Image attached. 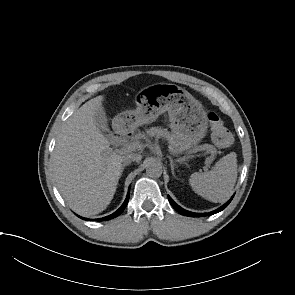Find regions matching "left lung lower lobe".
<instances>
[{"mask_svg":"<svg viewBox=\"0 0 295 295\" xmlns=\"http://www.w3.org/2000/svg\"><path fill=\"white\" fill-rule=\"evenodd\" d=\"M233 199V197L226 203L224 204L223 206H221L220 208H218L217 210L215 211H212V212H209V213H193V212H189L187 210H184L182 209L180 206H178L172 199L170 196H168V200L170 202V204L172 205V207L177 211L179 212L180 214L182 215H185V216H191V217H203V216H210V215H213L215 213H218L220 211H222L224 208L227 207V205L231 202V200Z\"/></svg>","mask_w":295,"mask_h":295,"instance_id":"left-lung-lower-lobe-1","label":"left lung lower lobe"}]
</instances>
